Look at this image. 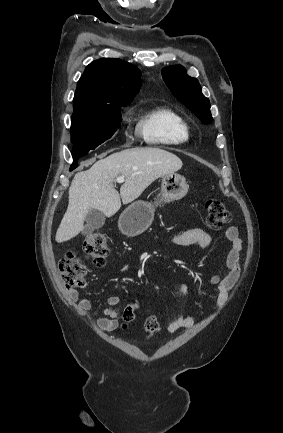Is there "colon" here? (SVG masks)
<instances>
[{"label":"colon","mask_w":283,"mask_h":433,"mask_svg":"<svg viewBox=\"0 0 283 433\" xmlns=\"http://www.w3.org/2000/svg\"><path fill=\"white\" fill-rule=\"evenodd\" d=\"M231 215L225 206L218 200H209L206 203V224L211 229H219L230 221ZM86 257L96 266L105 264L109 244L107 236L102 232H94L88 235L83 242ZM63 282L67 289L81 288L84 285L85 264L72 254L64 257L59 263ZM137 306L134 303L127 304L123 309L122 321L124 325L135 318ZM161 327V322L156 316H149L144 323V329L149 337H153Z\"/></svg>","instance_id":"5ec220e1"}]
</instances>
